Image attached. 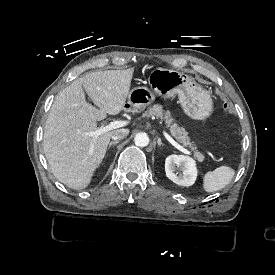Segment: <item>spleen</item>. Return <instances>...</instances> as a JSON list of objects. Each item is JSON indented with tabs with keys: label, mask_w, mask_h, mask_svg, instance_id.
Wrapping results in <instances>:
<instances>
[{
	"label": "spleen",
	"mask_w": 275,
	"mask_h": 275,
	"mask_svg": "<svg viewBox=\"0 0 275 275\" xmlns=\"http://www.w3.org/2000/svg\"><path fill=\"white\" fill-rule=\"evenodd\" d=\"M234 170L227 166H220L214 171L207 172L204 176L203 187L206 192L223 189L234 177Z\"/></svg>",
	"instance_id": "3e777b00"
}]
</instances>
